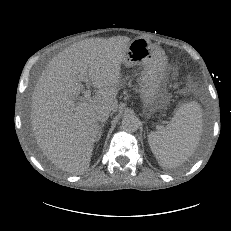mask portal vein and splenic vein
I'll return each instance as SVG.
<instances>
[{"label":"portal vein and splenic vein","mask_w":231,"mask_h":231,"mask_svg":"<svg viewBox=\"0 0 231 231\" xmlns=\"http://www.w3.org/2000/svg\"><path fill=\"white\" fill-rule=\"evenodd\" d=\"M78 78L81 81L86 82L87 84L89 82V80H88V78L84 72L79 74ZM90 96H91V90L88 88V90L84 91V97L79 98L78 108H81L88 100H90Z\"/></svg>","instance_id":"18ae733b"}]
</instances>
